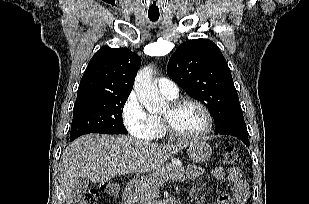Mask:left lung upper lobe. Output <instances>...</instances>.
<instances>
[{
    "label": "left lung upper lobe",
    "instance_id": "obj_1",
    "mask_svg": "<svg viewBox=\"0 0 309 204\" xmlns=\"http://www.w3.org/2000/svg\"><path fill=\"white\" fill-rule=\"evenodd\" d=\"M167 73L211 112L215 131L244 120L230 69L217 45L208 39L188 40L171 56Z\"/></svg>",
    "mask_w": 309,
    "mask_h": 204
}]
</instances>
